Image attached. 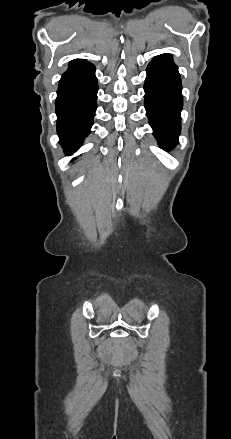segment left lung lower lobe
Returning a JSON list of instances; mask_svg holds the SVG:
<instances>
[{"label": "left lung lower lobe", "mask_w": 231, "mask_h": 439, "mask_svg": "<svg viewBox=\"0 0 231 439\" xmlns=\"http://www.w3.org/2000/svg\"><path fill=\"white\" fill-rule=\"evenodd\" d=\"M144 105L153 135L165 151L178 144L183 107L178 67L170 54L155 57L147 67Z\"/></svg>", "instance_id": "1"}]
</instances>
